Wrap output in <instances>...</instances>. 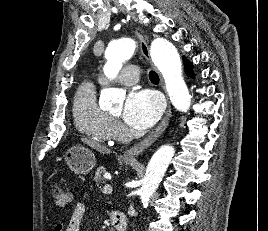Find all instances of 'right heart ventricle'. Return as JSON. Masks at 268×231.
Instances as JSON below:
<instances>
[{"label": "right heart ventricle", "instance_id": "1", "mask_svg": "<svg viewBox=\"0 0 268 231\" xmlns=\"http://www.w3.org/2000/svg\"><path fill=\"white\" fill-rule=\"evenodd\" d=\"M96 90L89 81L78 87L73 102V118L76 128L87 138L108 143L114 139V120L97 104Z\"/></svg>", "mask_w": 268, "mask_h": 231}]
</instances>
